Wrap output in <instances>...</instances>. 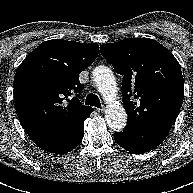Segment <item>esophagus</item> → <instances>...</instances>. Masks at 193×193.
Listing matches in <instances>:
<instances>
[{
  "mask_svg": "<svg viewBox=\"0 0 193 193\" xmlns=\"http://www.w3.org/2000/svg\"><path fill=\"white\" fill-rule=\"evenodd\" d=\"M104 107H101L100 109H97L98 112L102 113L104 111Z\"/></svg>",
  "mask_w": 193,
  "mask_h": 193,
  "instance_id": "34e87169",
  "label": "esophagus"
}]
</instances>
